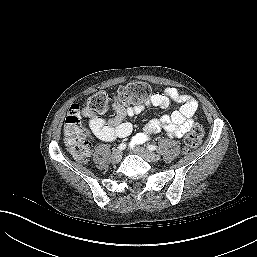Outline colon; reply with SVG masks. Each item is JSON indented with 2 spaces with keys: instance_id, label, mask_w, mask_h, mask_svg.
I'll list each match as a JSON object with an SVG mask.
<instances>
[{
  "instance_id": "obj_1",
  "label": "colon",
  "mask_w": 257,
  "mask_h": 257,
  "mask_svg": "<svg viewBox=\"0 0 257 257\" xmlns=\"http://www.w3.org/2000/svg\"><path fill=\"white\" fill-rule=\"evenodd\" d=\"M151 96V88L144 82H132L120 87L113 95L101 90L90 96L86 101L89 111L100 114L106 113L116 101L122 105L141 103ZM65 142L70 154L78 161H84L89 155L87 142L88 132L82 126V114L80 106L73 104L65 118L64 123ZM203 127L195 122L184 139V151L190 152L198 147L202 141Z\"/></svg>"
}]
</instances>
